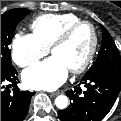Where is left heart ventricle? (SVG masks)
<instances>
[{
  "label": "left heart ventricle",
  "mask_w": 121,
  "mask_h": 121,
  "mask_svg": "<svg viewBox=\"0 0 121 121\" xmlns=\"http://www.w3.org/2000/svg\"><path fill=\"white\" fill-rule=\"evenodd\" d=\"M92 41L90 29L86 26L79 28L69 40L56 47L52 54L60 57L69 70L78 66L88 54Z\"/></svg>",
  "instance_id": "obj_1"
}]
</instances>
